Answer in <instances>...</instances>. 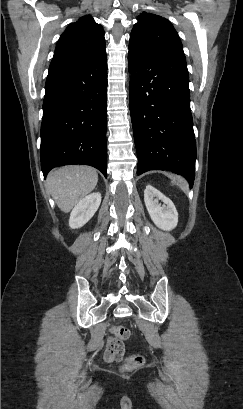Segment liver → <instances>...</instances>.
<instances>
[{"label": "liver", "mask_w": 243, "mask_h": 409, "mask_svg": "<svg viewBox=\"0 0 243 409\" xmlns=\"http://www.w3.org/2000/svg\"><path fill=\"white\" fill-rule=\"evenodd\" d=\"M97 171L90 166L70 165L52 170L47 188L61 211L69 212L97 185Z\"/></svg>", "instance_id": "obj_1"}]
</instances>
